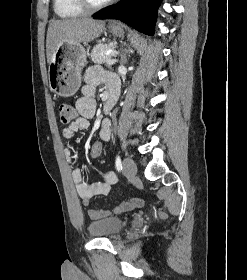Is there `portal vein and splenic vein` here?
I'll return each mask as SVG.
<instances>
[{
  "label": "portal vein and splenic vein",
  "instance_id": "portal-vein-and-splenic-vein-1",
  "mask_svg": "<svg viewBox=\"0 0 247 280\" xmlns=\"http://www.w3.org/2000/svg\"><path fill=\"white\" fill-rule=\"evenodd\" d=\"M118 54V52L114 51L111 53L112 56H116ZM115 62H117V60L114 58V59H109L107 61V64H114Z\"/></svg>",
  "mask_w": 247,
  "mask_h": 280
}]
</instances>
